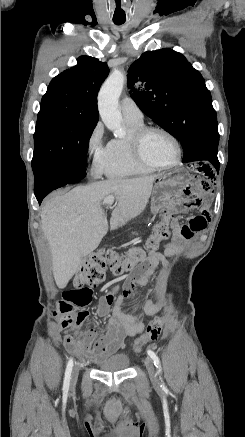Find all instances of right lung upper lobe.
<instances>
[{"mask_svg": "<svg viewBox=\"0 0 245 437\" xmlns=\"http://www.w3.org/2000/svg\"><path fill=\"white\" fill-rule=\"evenodd\" d=\"M78 64L52 79L40 108H62L98 120L97 94L109 73L105 62L81 56Z\"/></svg>", "mask_w": 245, "mask_h": 437, "instance_id": "obj_1", "label": "right lung upper lobe"}]
</instances>
